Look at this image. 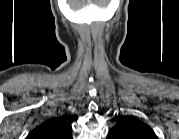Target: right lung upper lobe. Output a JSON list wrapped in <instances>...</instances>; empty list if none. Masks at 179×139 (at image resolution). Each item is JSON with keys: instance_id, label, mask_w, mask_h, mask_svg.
Wrapping results in <instances>:
<instances>
[{"instance_id": "right-lung-upper-lobe-1", "label": "right lung upper lobe", "mask_w": 179, "mask_h": 139, "mask_svg": "<svg viewBox=\"0 0 179 139\" xmlns=\"http://www.w3.org/2000/svg\"><path fill=\"white\" fill-rule=\"evenodd\" d=\"M28 138L72 139V128L63 118H54L32 130L29 133Z\"/></svg>"}]
</instances>
